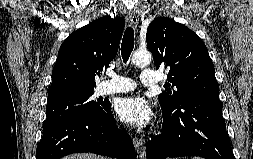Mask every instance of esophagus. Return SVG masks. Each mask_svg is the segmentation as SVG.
Returning a JSON list of instances; mask_svg holds the SVG:
<instances>
[{
  "mask_svg": "<svg viewBox=\"0 0 253 159\" xmlns=\"http://www.w3.org/2000/svg\"><path fill=\"white\" fill-rule=\"evenodd\" d=\"M129 20H130V23L132 24L133 28L136 29L138 26L139 18H138L137 13L135 12V10L129 11ZM132 140H133V144L135 146L136 152L138 154V157L140 159H144V157H145V142H144V140L137 137V136H134Z\"/></svg>",
  "mask_w": 253,
  "mask_h": 159,
  "instance_id": "34e87169",
  "label": "esophagus"
}]
</instances>
